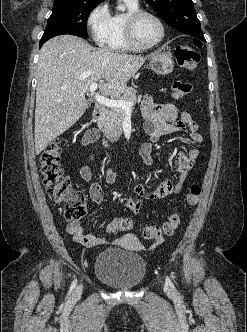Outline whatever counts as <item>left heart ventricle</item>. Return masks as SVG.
<instances>
[{"instance_id":"1","label":"left heart ventricle","mask_w":247,"mask_h":332,"mask_svg":"<svg viewBox=\"0 0 247 332\" xmlns=\"http://www.w3.org/2000/svg\"><path fill=\"white\" fill-rule=\"evenodd\" d=\"M135 36L140 44L150 45L160 38L161 29L153 17L143 16L136 23Z\"/></svg>"}]
</instances>
